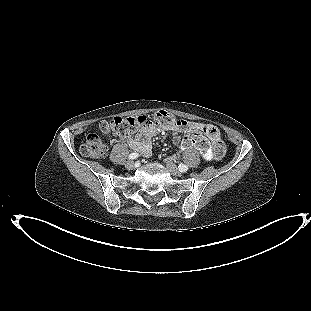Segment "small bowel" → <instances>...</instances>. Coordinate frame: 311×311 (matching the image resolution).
<instances>
[{"instance_id": "obj_1", "label": "small bowel", "mask_w": 311, "mask_h": 311, "mask_svg": "<svg viewBox=\"0 0 311 311\" xmlns=\"http://www.w3.org/2000/svg\"><path fill=\"white\" fill-rule=\"evenodd\" d=\"M188 129L201 130L207 136H209L212 145V157L216 160L222 157L224 153V144L221 139L220 132L216 126L207 123L188 122L187 127L184 128L171 124L153 125L146 127L133 135H125L124 138L132 149L139 152L143 156H149L151 154V139L168 131L175 133L172 138V141L175 145L189 147L185 144V140L182 141L181 137L178 135V133Z\"/></svg>"}]
</instances>
